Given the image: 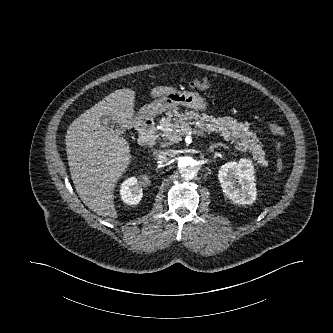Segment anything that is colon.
I'll use <instances>...</instances> for the list:
<instances>
[{
	"label": "colon",
	"instance_id": "1",
	"mask_svg": "<svg viewBox=\"0 0 333 333\" xmlns=\"http://www.w3.org/2000/svg\"><path fill=\"white\" fill-rule=\"evenodd\" d=\"M189 85L192 89H196V90H206L210 87V83L206 78H195V79L191 80ZM268 127H269L270 131L276 136L285 135L284 129L276 123L271 122V123H269Z\"/></svg>",
	"mask_w": 333,
	"mask_h": 333
}]
</instances>
